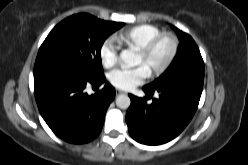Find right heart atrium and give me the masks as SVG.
Masks as SVG:
<instances>
[{
    "label": "right heart atrium",
    "mask_w": 248,
    "mask_h": 165,
    "mask_svg": "<svg viewBox=\"0 0 248 165\" xmlns=\"http://www.w3.org/2000/svg\"><path fill=\"white\" fill-rule=\"evenodd\" d=\"M99 56L102 65L106 69L115 67L118 63V46L112 39H106L100 46Z\"/></svg>",
    "instance_id": "1"
}]
</instances>
